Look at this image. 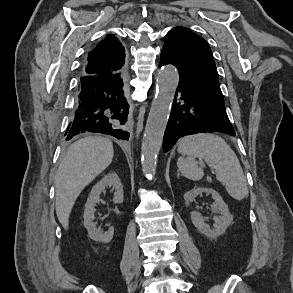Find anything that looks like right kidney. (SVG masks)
<instances>
[{"label":"right kidney","instance_id":"ca27d5eb","mask_svg":"<svg viewBox=\"0 0 293 293\" xmlns=\"http://www.w3.org/2000/svg\"><path fill=\"white\" fill-rule=\"evenodd\" d=\"M113 187L114 198L113 202L115 204H120L123 202V187L121 181L116 173H110L104 176L100 182L95 184L90 192V195L85 204L84 210V226L88 231L89 237L98 242L107 243L111 241L114 234V228H109L108 231L102 233L96 228L94 220V213L96 211L95 205L100 201V195L105 191L107 187Z\"/></svg>","mask_w":293,"mask_h":293}]
</instances>
